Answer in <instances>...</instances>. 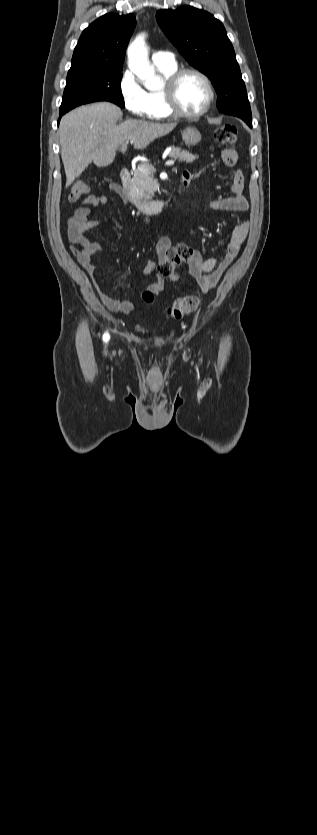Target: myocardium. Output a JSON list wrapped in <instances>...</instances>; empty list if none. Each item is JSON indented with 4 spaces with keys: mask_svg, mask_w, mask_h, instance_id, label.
Returning <instances> with one entry per match:
<instances>
[{
    "mask_svg": "<svg viewBox=\"0 0 317 835\" xmlns=\"http://www.w3.org/2000/svg\"><path fill=\"white\" fill-rule=\"evenodd\" d=\"M188 74H194V75H197L198 77H200L204 81V83L207 87V90H208V98L206 100L205 105L203 106V108L201 110H199L196 113H192V114L184 112L180 108L178 100H177V90H178L180 81L184 76H186ZM163 90H164V94H165V98H166L168 107H169L172 115L175 116V117H178V118H182V119H196V118H199V117L203 116L204 114H206L209 111V109L211 108V106L214 102V99H215L214 86H213V83H212L211 79L209 78V76L207 74H205L203 71H201L197 68H192V67L177 69L174 73H172L166 79Z\"/></svg>",
    "mask_w": 317,
    "mask_h": 835,
    "instance_id": "f54148a6",
    "label": "myocardium"
}]
</instances>
